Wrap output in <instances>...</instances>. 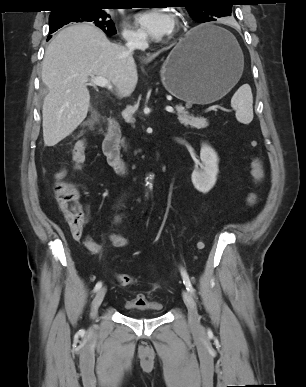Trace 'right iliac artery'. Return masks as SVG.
<instances>
[{
    "mask_svg": "<svg viewBox=\"0 0 306 387\" xmlns=\"http://www.w3.org/2000/svg\"><path fill=\"white\" fill-rule=\"evenodd\" d=\"M102 287V282H98L94 287V292H97Z\"/></svg>",
    "mask_w": 306,
    "mask_h": 387,
    "instance_id": "right-iliac-artery-1",
    "label": "right iliac artery"
}]
</instances>
